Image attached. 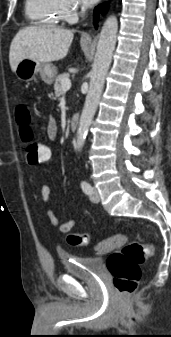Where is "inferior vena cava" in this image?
<instances>
[{
  "label": "inferior vena cava",
  "instance_id": "inferior-vena-cava-1",
  "mask_svg": "<svg viewBox=\"0 0 171 337\" xmlns=\"http://www.w3.org/2000/svg\"><path fill=\"white\" fill-rule=\"evenodd\" d=\"M86 10H87V5L82 6V13H85Z\"/></svg>",
  "mask_w": 171,
  "mask_h": 337
}]
</instances>
